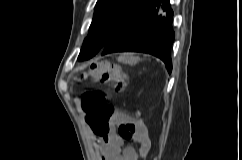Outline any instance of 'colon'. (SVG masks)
Segmentation results:
<instances>
[{"mask_svg":"<svg viewBox=\"0 0 242 160\" xmlns=\"http://www.w3.org/2000/svg\"><path fill=\"white\" fill-rule=\"evenodd\" d=\"M92 78L94 81L110 84L115 91H120L126 84V74L121 68L107 61L94 62L87 70L82 71L79 79ZM83 106L87 111L86 121L97 135H103L109 128L115 110L107 103L103 94L98 91H90L84 94ZM126 140H131L134 127L121 129Z\"/></svg>","mask_w":242,"mask_h":160,"instance_id":"obj_1","label":"colon"}]
</instances>
